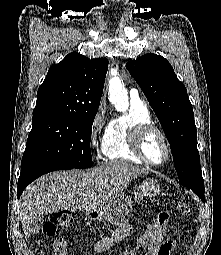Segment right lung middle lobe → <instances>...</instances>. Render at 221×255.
<instances>
[{
    "label": "right lung middle lobe",
    "instance_id": "obj_1",
    "mask_svg": "<svg viewBox=\"0 0 221 255\" xmlns=\"http://www.w3.org/2000/svg\"><path fill=\"white\" fill-rule=\"evenodd\" d=\"M97 111L88 113L47 112L33 114L21 168L46 164L69 168L92 166V123Z\"/></svg>",
    "mask_w": 221,
    "mask_h": 255
}]
</instances>
